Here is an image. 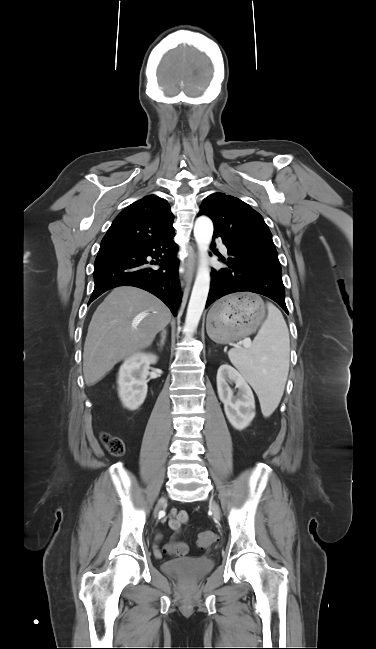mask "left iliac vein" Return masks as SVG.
Returning a JSON list of instances; mask_svg holds the SVG:
<instances>
[{
    "instance_id": "left-iliac-vein-1",
    "label": "left iliac vein",
    "mask_w": 376,
    "mask_h": 649,
    "mask_svg": "<svg viewBox=\"0 0 376 649\" xmlns=\"http://www.w3.org/2000/svg\"><path fill=\"white\" fill-rule=\"evenodd\" d=\"M210 507H211V510H212L214 516L217 517V518H220V509H219L218 505L214 501H211L210 502Z\"/></svg>"
}]
</instances>
